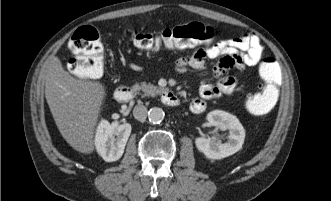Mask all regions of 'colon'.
Instances as JSON below:
<instances>
[{"instance_id":"colon-1","label":"colon","mask_w":331,"mask_h":201,"mask_svg":"<svg viewBox=\"0 0 331 201\" xmlns=\"http://www.w3.org/2000/svg\"><path fill=\"white\" fill-rule=\"evenodd\" d=\"M214 39V30L202 23L166 28L156 33H133L131 40L141 50L156 52L162 49L193 48L207 45ZM70 49L75 56L69 61V70L82 79L97 78L104 70V47L98 31L92 26L80 27L71 37ZM263 81L261 91L246 97V109L261 116L277 103L283 81V69L277 59L265 56L259 63Z\"/></svg>"}]
</instances>
